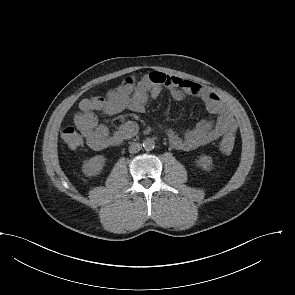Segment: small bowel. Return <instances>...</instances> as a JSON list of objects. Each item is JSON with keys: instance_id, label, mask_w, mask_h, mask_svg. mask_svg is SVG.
Segmentation results:
<instances>
[{"instance_id": "small-bowel-1", "label": "small bowel", "mask_w": 295, "mask_h": 295, "mask_svg": "<svg viewBox=\"0 0 295 295\" xmlns=\"http://www.w3.org/2000/svg\"><path fill=\"white\" fill-rule=\"evenodd\" d=\"M164 87L169 89L175 100H182L188 95L200 98L207 111L215 116L213 120H201L184 134L168 129L167 137L174 149L192 151L236 131L237 123L218 95L198 83L162 72H151L140 79L128 77L104 96L82 99L74 123L91 149L100 151L117 146L137 133V124L126 121L111 134L105 125L99 124L96 112L107 115L125 110L143 113L148 99L159 97Z\"/></svg>"}]
</instances>
